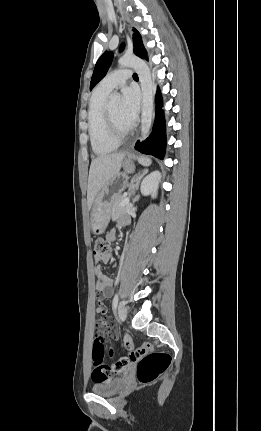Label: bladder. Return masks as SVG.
Wrapping results in <instances>:
<instances>
[{"label":"bladder","instance_id":"bladder-1","mask_svg":"<svg viewBox=\"0 0 261 431\" xmlns=\"http://www.w3.org/2000/svg\"><path fill=\"white\" fill-rule=\"evenodd\" d=\"M124 377H116L95 382L91 390L93 393L101 396H112L118 393L125 385Z\"/></svg>","mask_w":261,"mask_h":431}]
</instances>
